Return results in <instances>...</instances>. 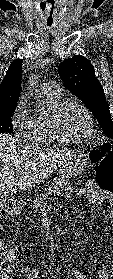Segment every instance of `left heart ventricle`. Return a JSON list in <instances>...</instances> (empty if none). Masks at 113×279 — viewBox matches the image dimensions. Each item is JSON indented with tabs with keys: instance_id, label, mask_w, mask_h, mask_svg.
Returning a JSON list of instances; mask_svg holds the SVG:
<instances>
[{
	"instance_id": "1",
	"label": "left heart ventricle",
	"mask_w": 113,
	"mask_h": 279,
	"mask_svg": "<svg viewBox=\"0 0 113 279\" xmlns=\"http://www.w3.org/2000/svg\"><path fill=\"white\" fill-rule=\"evenodd\" d=\"M62 133L69 137L83 136L88 130V120L83 110L76 104L67 105L57 120Z\"/></svg>"
}]
</instances>
